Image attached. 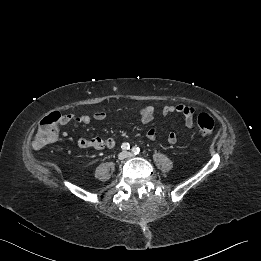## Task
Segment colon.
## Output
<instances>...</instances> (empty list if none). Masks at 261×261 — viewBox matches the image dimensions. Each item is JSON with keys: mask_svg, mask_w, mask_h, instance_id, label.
<instances>
[{"mask_svg": "<svg viewBox=\"0 0 261 261\" xmlns=\"http://www.w3.org/2000/svg\"><path fill=\"white\" fill-rule=\"evenodd\" d=\"M67 120L68 117L61 112L46 115L39 123L33 142L34 147L40 149L55 141L58 137V126ZM197 127L201 134H209L215 128V121L209 114L201 113L197 117Z\"/></svg>", "mask_w": 261, "mask_h": 261, "instance_id": "obj_1", "label": "colon"}]
</instances>
